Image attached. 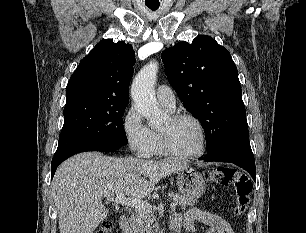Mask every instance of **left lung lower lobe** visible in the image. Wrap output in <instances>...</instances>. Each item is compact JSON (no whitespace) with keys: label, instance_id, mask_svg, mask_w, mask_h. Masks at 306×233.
Returning a JSON list of instances; mask_svg holds the SVG:
<instances>
[{"label":"left lung lower lobe","instance_id":"1","mask_svg":"<svg viewBox=\"0 0 306 233\" xmlns=\"http://www.w3.org/2000/svg\"><path fill=\"white\" fill-rule=\"evenodd\" d=\"M204 161L230 162L245 169L255 180L256 168L249 140L233 142L208 153Z\"/></svg>","mask_w":306,"mask_h":233}]
</instances>
